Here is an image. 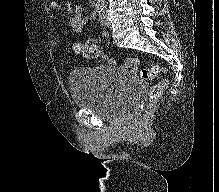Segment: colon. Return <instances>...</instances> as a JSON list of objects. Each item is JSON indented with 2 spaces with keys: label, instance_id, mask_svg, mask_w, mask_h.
I'll list each match as a JSON object with an SVG mask.
<instances>
[{
  "label": "colon",
  "instance_id": "1",
  "mask_svg": "<svg viewBox=\"0 0 219 192\" xmlns=\"http://www.w3.org/2000/svg\"><path fill=\"white\" fill-rule=\"evenodd\" d=\"M74 51L77 54H80L83 57L89 58V59H94V58H98L99 56H101L98 43L95 39H89L85 41L84 43H77L74 47ZM103 58L106 61L113 63V60L109 58L108 56L104 55ZM131 63H132L131 60H126L125 62H123V65L128 66ZM160 73H164L163 67L160 65H154L151 67L142 68L139 72V75L143 80H153ZM168 84H169L168 79L164 78L152 86L150 94H149L148 105H147L148 111H152L155 108L159 99L161 98L163 93L166 91Z\"/></svg>",
  "mask_w": 219,
  "mask_h": 192
}]
</instances>
